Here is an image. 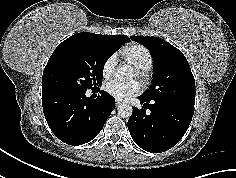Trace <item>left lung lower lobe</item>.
<instances>
[{
	"mask_svg": "<svg viewBox=\"0 0 236 178\" xmlns=\"http://www.w3.org/2000/svg\"><path fill=\"white\" fill-rule=\"evenodd\" d=\"M142 109L133 108L128 130L133 141L151 153H160L175 146L186 133L194 113V105L148 101L138 97ZM146 109L150 113H146Z\"/></svg>",
	"mask_w": 236,
	"mask_h": 178,
	"instance_id": "obj_1",
	"label": "left lung lower lobe"
}]
</instances>
